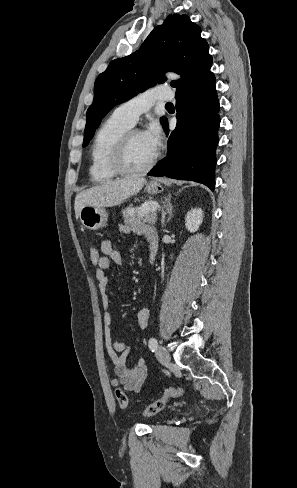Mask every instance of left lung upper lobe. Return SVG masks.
I'll list each match as a JSON object with an SVG mask.
<instances>
[{
  "label": "left lung upper lobe",
  "mask_w": 297,
  "mask_h": 488,
  "mask_svg": "<svg viewBox=\"0 0 297 488\" xmlns=\"http://www.w3.org/2000/svg\"><path fill=\"white\" fill-rule=\"evenodd\" d=\"M201 29L187 15L169 16L157 26L133 54L110 62L94 85V101L87 110L83 147L92 139L102 118L115 105L122 103L156 81H165L161 74L174 71L182 79L172 81L176 94L188 91L210 71L212 57ZM166 117L161 118L164 124Z\"/></svg>",
  "instance_id": "obj_1"
}]
</instances>
